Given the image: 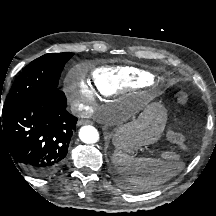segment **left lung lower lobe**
Returning <instances> with one entry per match:
<instances>
[{"label": "left lung lower lobe", "mask_w": 216, "mask_h": 216, "mask_svg": "<svg viewBox=\"0 0 216 216\" xmlns=\"http://www.w3.org/2000/svg\"><path fill=\"white\" fill-rule=\"evenodd\" d=\"M118 183H120L123 187L126 188H132L133 185H131L130 183H128L123 176H121L120 178L117 179Z\"/></svg>", "instance_id": "obj_1"}]
</instances>
